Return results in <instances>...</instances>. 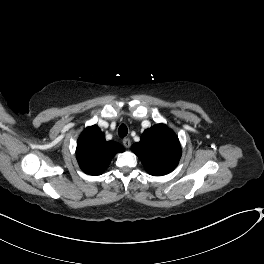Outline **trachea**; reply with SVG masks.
<instances>
[{"label": "trachea", "instance_id": "obj_1", "mask_svg": "<svg viewBox=\"0 0 264 264\" xmlns=\"http://www.w3.org/2000/svg\"><path fill=\"white\" fill-rule=\"evenodd\" d=\"M118 133L121 137H125L128 134V128L125 124H122L118 128Z\"/></svg>", "mask_w": 264, "mask_h": 264}]
</instances>
